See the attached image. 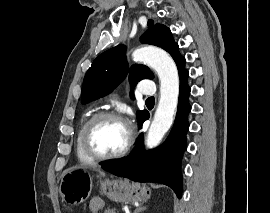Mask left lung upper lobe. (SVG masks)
Here are the masks:
<instances>
[{
	"label": "left lung upper lobe",
	"instance_id": "5c2ea615",
	"mask_svg": "<svg viewBox=\"0 0 270 213\" xmlns=\"http://www.w3.org/2000/svg\"><path fill=\"white\" fill-rule=\"evenodd\" d=\"M149 30L141 37L142 43L155 45L166 50L176 62L178 72L185 67V58L180 55L171 31L164 25H153L148 21ZM126 47L117 45L99 55L87 71L82 85V103H88L110 93L129 72V81L134 87L142 79H152L153 73L145 65H133L130 70L125 58ZM148 114L146 110L137 111L139 122Z\"/></svg>",
	"mask_w": 270,
	"mask_h": 213
}]
</instances>
